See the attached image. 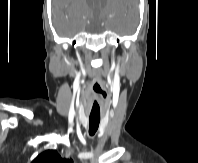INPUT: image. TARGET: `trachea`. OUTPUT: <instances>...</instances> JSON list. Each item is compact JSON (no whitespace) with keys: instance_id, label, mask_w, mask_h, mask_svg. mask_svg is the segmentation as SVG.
<instances>
[{"instance_id":"1","label":"trachea","mask_w":198,"mask_h":163,"mask_svg":"<svg viewBox=\"0 0 198 163\" xmlns=\"http://www.w3.org/2000/svg\"><path fill=\"white\" fill-rule=\"evenodd\" d=\"M99 123H100V117H90L89 118V135L90 136H93L96 133V131L99 127Z\"/></svg>"}]
</instances>
